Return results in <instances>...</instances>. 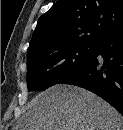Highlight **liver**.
<instances>
[{
	"label": "liver",
	"instance_id": "1",
	"mask_svg": "<svg viewBox=\"0 0 123 130\" xmlns=\"http://www.w3.org/2000/svg\"><path fill=\"white\" fill-rule=\"evenodd\" d=\"M18 130H123V117L83 88L56 84L28 102Z\"/></svg>",
	"mask_w": 123,
	"mask_h": 130
}]
</instances>
